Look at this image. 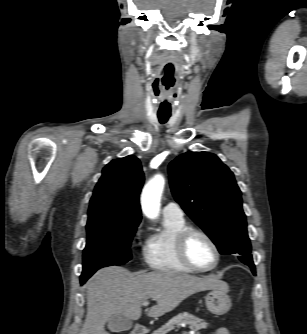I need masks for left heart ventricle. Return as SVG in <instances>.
Returning a JSON list of instances; mask_svg holds the SVG:
<instances>
[{"mask_svg": "<svg viewBox=\"0 0 307 334\" xmlns=\"http://www.w3.org/2000/svg\"><path fill=\"white\" fill-rule=\"evenodd\" d=\"M191 260L201 268H207L215 262V252L212 246L203 237L195 235L188 244Z\"/></svg>", "mask_w": 307, "mask_h": 334, "instance_id": "obj_1", "label": "left heart ventricle"}]
</instances>
